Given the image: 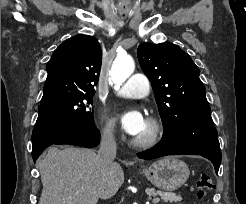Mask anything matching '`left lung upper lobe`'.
<instances>
[{"instance_id": "5c2ea615", "label": "left lung upper lobe", "mask_w": 246, "mask_h": 204, "mask_svg": "<svg viewBox=\"0 0 246 204\" xmlns=\"http://www.w3.org/2000/svg\"><path fill=\"white\" fill-rule=\"evenodd\" d=\"M137 56L151 81L164 130L182 120L210 116L199 68L180 47L143 43Z\"/></svg>"}]
</instances>
